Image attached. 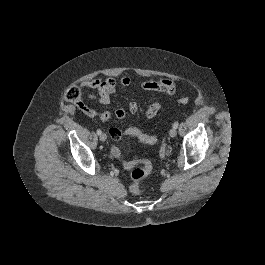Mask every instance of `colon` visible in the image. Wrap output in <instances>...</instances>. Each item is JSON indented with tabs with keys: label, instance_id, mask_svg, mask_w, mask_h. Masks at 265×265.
Here are the masks:
<instances>
[{
	"label": "colon",
	"instance_id": "5ec220e1",
	"mask_svg": "<svg viewBox=\"0 0 265 265\" xmlns=\"http://www.w3.org/2000/svg\"><path fill=\"white\" fill-rule=\"evenodd\" d=\"M64 98L69 102L78 104L79 106L83 105L82 93L80 89L76 86L69 87L64 93ZM178 102L181 104H187L189 100L188 98H180ZM109 134L115 140L122 138L123 135H130L138 138L141 142L147 144H154L158 141V138L156 136L147 135L137 128H128L125 132L112 129L110 130ZM113 152L114 154L119 155V150L117 148H114ZM123 165L125 168L131 169L130 192L134 195H140L143 192L141 181L152 171L151 162L147 159H139L133 161H124Z\"/></svg>",
	"mask_w": 265,
	"mask_h": 265
}]
</instances>
